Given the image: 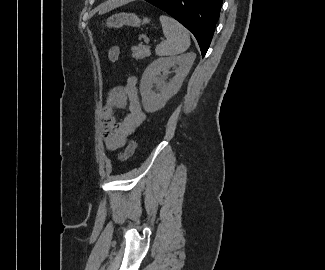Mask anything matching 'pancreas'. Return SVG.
Instances as JSON below:
<instances>
[{"label": "pancreas", "mask_w": 325, "mask_h": 270, "mask_svg": "<svg viewBox=\"0 0 325 270\" xmlns=\"http://www.w3.org/2000/svg\"><path fill=\"white\" fill-rule=\"evenodd\" d=\"M150 55L151 52L148 46L139 45L137 47L132 48V57L136 60H142L145 57H149Z\"/></svg>", "instance_id": "cf45deb5"}]
</instances>
